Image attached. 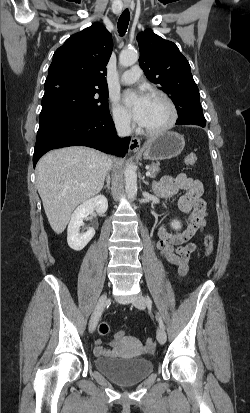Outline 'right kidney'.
Returning <instances> with one entry per match:
<instances>
[{
    "instance_id": "1",
    "label": "right kidney",
    "mask_w": 250,
    "mask_h": 413,
    "mask_svg": "<svg viewBox=\"0 0 250 413\" xmlns=\"http://www.w3.org/2000/svg\"><path fill=\"white\" fill-rule=\"evenodd\" d=\"M96 209L99 215L104 214L108 209V201L105 196L97 195L84 201L73 212L67 229V242L71 249L82 250L95 235L94 228H88L85 233H80L79 229L83 225L84 218H87Z\"/></svg>"
}]
</instances>
